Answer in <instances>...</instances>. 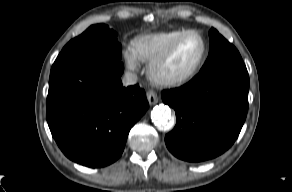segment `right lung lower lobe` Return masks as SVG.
<instances>
[{
  "mask_svg": "<svg viewBox=\"0 0 292 192\" xmlns=\"http://www.w3.org/2000/svg\"><path fill=\"white\" fill-rule=\"evenodd\" d=\"M121 58L104 51L60 53L50 73L47 122L72 161L103 167L122 154L131 127L149 107L138 85L122 86Z\"/></svg>",
  "mask_w": 292,
  "mask_h": 192,
  "instance_id": "1",
  "label": "right lung lower lobe"
}]
</instances>
